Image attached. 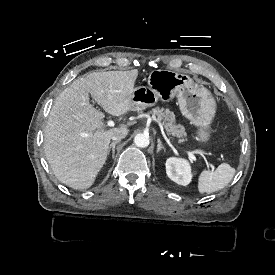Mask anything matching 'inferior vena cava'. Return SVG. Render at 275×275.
<instances>
[{
	"mask_svg": "<svg viewBox=\"0 0 275 275\" xmlns=\"http://www.w3.org/2000/svg\"><path fill=\"white\" fill-rule=\"evenodd\" d=\"M128 129L126 128H119V129H116L111 137V139L113 141H121L122 139H124L127 134H128Z\"/></svg>",
	"mask_w": 275,
	"mask_h": 275,
	"instance_id": "inferior-vena-cava-1",
	"label": "inferior vena cava"
}]
</instances>
